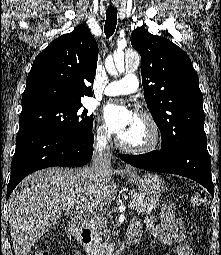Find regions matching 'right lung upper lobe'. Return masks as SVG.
Segmentation results:
<instances>
[{
	"instance_id": "1",
	"label": "right lung upper lobe",
	"mask_w": 221,
	"mask_h": 255,
	"mask_svg": "<svg viewBox=\"0 0 221 255\" xmlns=\"http://www.w3.org/2000/svg\"><path fill=\"white\" fill-rule=\"evenodd\" d=\"M98 45L90 30L80 25L53 40L34 60L22 96V110L44 104L81 102L92 96Z\"/></svg>"
}]
</instances>
